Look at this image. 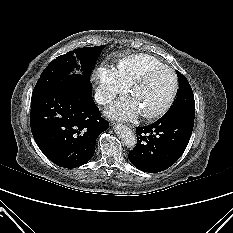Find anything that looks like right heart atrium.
Listing matches in <instances>:
<instances>
[{
  "instance_id": "d8ad5b80",
  "label": "right heart atrium",
  "mask_w": 233,
  "mask_h": 233,
  "mask_svg": "<svg viewBox=\"0 0 233 233\" xmlns=\"http://www.w3.org/2000/svg\"><path fill=\"white\" fill-rule=\"evenodd\" d=\"M95 81L97 83V101L100 104L109 103L116 95L127 89V85L122 81L117 70L111 66H100L95 73Z\"/></svg>"
}]
</instances>
